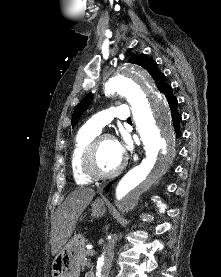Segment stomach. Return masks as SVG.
Returning a JSON list of instances; mask_svg holds the SVG:
<instances>
[{"mask_svg": "<svg viewBox=\"0 0 221 277\" xmlns=\"http://www.w3.org/2000/svg\"><path fill=\"white\" fill-rule=\"evenodd\" d=\"M92 217L98 218L106 213L103 200L97 199L91 205ZM86 239L78 233L64 245L52 262V277H79L84 258Z\"/></svg>", "mask_w": 221, "mask_h": 277, "instance_id": "stomach-1", "label": "stomach"}]
</instances>
